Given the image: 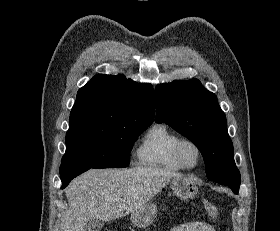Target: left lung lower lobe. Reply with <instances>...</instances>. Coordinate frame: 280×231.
Masks as SVG:
<instances>
[{"label": "left lung lower lobe", "instance_id": "obj_1", "mask_svg": "<svg viewBox=\"0 0 280 231\" xmlns=\"http://www.w3.org/2000/svg\"><path fill=\"white\" fill-rule=\"evenodd\" d=\"M216 183L229 186L232 191L237 194L240 187V173L237 169L235 172L230 173L226 176L213 180Z\"/></svg>", "mask_w": 280, "mask_h": 231}]
</instances>
